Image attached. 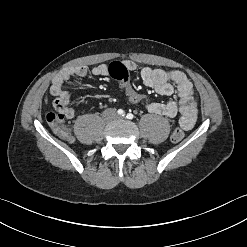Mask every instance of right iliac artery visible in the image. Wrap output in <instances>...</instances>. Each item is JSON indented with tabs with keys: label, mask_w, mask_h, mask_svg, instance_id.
Segmentation results:
<instances>
[{
	"label": "right iliac artery",
	"mask_w": 247,
	"mask_h": 247,
	"mask_svg": "<svg viewBox=\"0 0 247 247\" xmlns=\"http://www.w3.org/2000/svg\"><path fill=\"white\" fill-rule=\"evenodd\" d=\"M117 113H118L120 116H124V115H125V112H124V110H122V109H119V110L117 111Z\"/></svg>",
	"instance_id": "right-iliac-artery-1"
}]
</instances>
